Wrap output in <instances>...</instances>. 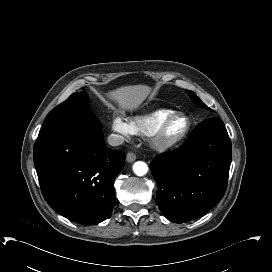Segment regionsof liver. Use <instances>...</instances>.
<instances>
[{"instance_id": "6515ba94", "label": "liver", "mask_w": 272, "mask_h": 272, "mask_svg": "<svg viewBox=\"0 0 272 272\" xmlns=\"http://www.w3.org/2000/svg\"><path fill=\"white\" fill-rule=\"evenodd\" d=\"M150 93L145 85L124 86L107 93V97L116 102L123 110L137 108Z\"/></svg>"}]
</instances>
